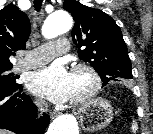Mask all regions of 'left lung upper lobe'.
I'll list each match as a JSON object with an SVG mask.
<instances>
[{
    "label": "left lung upper lobe",
    "mask_w": 153,
    "mask_h": 134,
    "mask_svg": "<svg viewBox=\"0 0 153 134\" xmlns=\"http://www.w3.org/2000/svg\"><path fill=\"white\" fill-rule=\"evenodd\" d=\"M63 7L75 21L72 39L81 48L79 58L94 67L103 86L111 81L132 79L126 43L113 18L76 0H65Z\"/></svg>",
    "instance_id": "1"
}]
</instances>
